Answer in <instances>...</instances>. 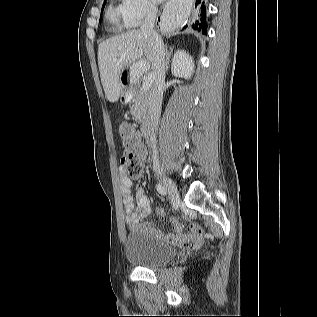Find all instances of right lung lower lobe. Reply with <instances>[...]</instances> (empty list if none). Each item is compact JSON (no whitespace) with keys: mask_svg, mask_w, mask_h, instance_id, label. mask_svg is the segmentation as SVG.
<instances>
[{"mask_svg":"<svg viewBox=\"0 0 317 317\" xmlns=\"http://www.w3.org/2000/svg\"><path fill=\"white\" fill-rule=\"evenodd\" d=\"M195 17L196 21L192 24V28L198 31H202L206 34V6L204 0H195ZM187 27V25L185 26Z\"/></svg>","mask_w":317,"mask_h":317,"instance_id":"right-lung-lower-lobe-1","label":"right lung lower lobe"}]
</instances>
